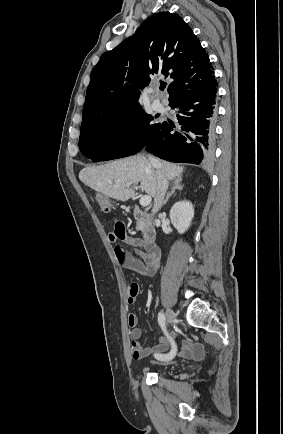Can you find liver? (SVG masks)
I'll return each mask as SVG.
<instances>
[{"mask_svg": "<svg viewBox=\"0 0 283 434\" xmlns=\"http://www.w3.org/2000/svg\"><path fill=\"white\" fill-rule=\"evenodd\" d=\"M167 180L180 177L182 166L159 161ZM79 179L91 189L118 201H127L135 191L127 184L140 182L141 188L152 197L157 192L156 168L144 155H134L100 166H87L79 172Z\"/></svg>", "mask_w": 283, "mask_h": 434, "instance_id": "liver-1", "label": "liver"}]
</instances>
